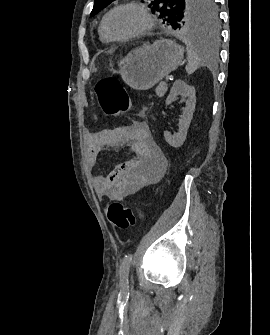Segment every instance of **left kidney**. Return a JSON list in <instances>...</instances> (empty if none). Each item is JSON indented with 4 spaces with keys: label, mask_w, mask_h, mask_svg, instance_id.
<instances>
[{
    "label": "left kidney",
    "mask_w": 270,
    "mask_h": 335,
    "mask_svg": "<svg viewBox=\"0 0 270 335\" xmlns=\"http://www.w3.org/2000/svg\"><path fill=\"white\" fill-rule=\"evenodd\" d=\"M179 94L180 96H188V100H186V108H183V114L181 120H179V130L174 136H171L170 132H164L166 142H168L170 146H173V148H180V146H183L186 140L187 130L193 118L196 102L194 86H188V84H185L184 80H176L166 100V106L172 104L173 100H175L176 96H179Z\"/></svg>",
    "instance_id": "left-kidney-1"
}]
</instances>
